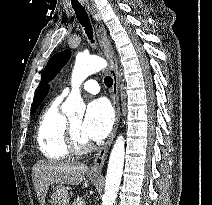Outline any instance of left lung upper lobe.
I'll return each instance as SVG.
<instances>
[{"label":"left lung upper lobe","instance_id":"obj_1","mask_svg":"<svg viewBox=\"0 0 212 205\" xmlns=\"http://www.w3.org/2000/svg\"><path fill=\"white\" fill-rule=\"evenodd\" d=\"M70 56L71 52L69 50H65L61 53H57L52 56L42 73L41 82L39 86H42L48 81L52 80L62 69V67L68 62Z\"/></svg>","mask_w":212,"mask_h":205}]
</instances>
